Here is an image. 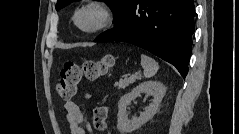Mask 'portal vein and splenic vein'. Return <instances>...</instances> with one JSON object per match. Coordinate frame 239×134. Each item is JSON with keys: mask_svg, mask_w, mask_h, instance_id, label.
Segmentation results:
<instances>
[{"mask_svg": "<svg viewBox=\"0 0 239 134\" xmlns=\"http://www.w3.org/2000/svg\"><path fill=\"white\" fill-rule=\"evenodd\" d=\"M140 72H135V75H138Z\"/></svg>", "mask_w": 239, "mask_h": 134, "instance_id": "portal-vein-and-splenic-vein-1", "label": "portal vein and splenic vein"}]
</instances>
